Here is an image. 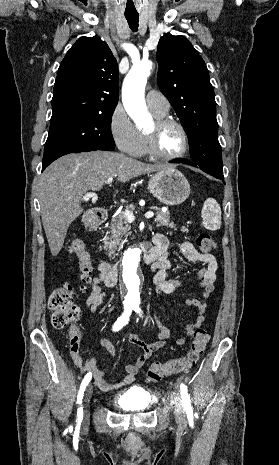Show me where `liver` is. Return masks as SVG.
I'll return each mask as SVG.
<instances>
[{"mask_svg": "<svg viewBox=\"0 0 279 465\" xmlns=\"http://www.w3.org/2000/svg\"><path fill=\"white\" fill-rule=\"evenodd\" d=\"M167 167L107 151L68 154L54 161L42 173L38 189L51 254L57 256L62 249L70 224L83 212L81 201L88 191L101 190L109 177L125 183Z\"/></svg>", "mask_w": 279, "mask_h": 465, "instance_id": "1", "label": "liver"}]
</instances>
